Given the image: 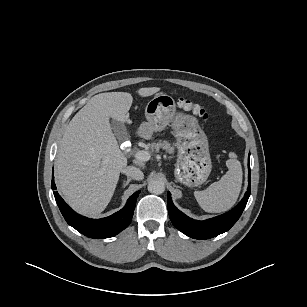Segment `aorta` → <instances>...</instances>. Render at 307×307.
Segmentation results:
<instances>
[{"mask_svg": "<svg viewBox=\"0 0 307 307\" xmlns=\"http://www.w3.org/2000/svg\"><path fill=\"white\" fill-rule=\"evenodd\" d=\"M148 191L153 194H162L165 191V184L160 179L150 180L148 183Z\"/></svg>", "mask_w": 307, "mask_h": 307, "instance_id": "aorta-1", "label": "aorta"}]
</instances>
